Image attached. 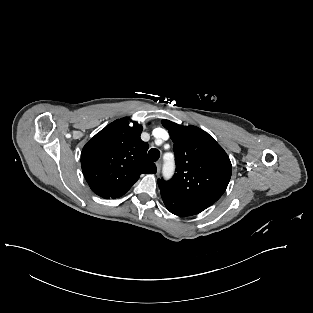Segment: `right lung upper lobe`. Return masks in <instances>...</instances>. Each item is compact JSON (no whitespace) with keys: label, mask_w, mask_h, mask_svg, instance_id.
I'll use <instances>...</instances> for the list:
<instances>
[{"label":"right lung upper lobe","mask_w":313,"mask_h":313,"mask_svg":"<svg viewBox=\"0 0 313 313\" xmlns=\"http://www.w3.org/2000/svg\"><path fill=\"white\" fill-rule=\"evenodd\" d=\"M142 126L118 119L97 133L83 147L81 167L92 191L103 198L125 194L142 173H156L146 158L148 143L140 138Z\"/></svg>","instance_id":"obj_1"}]
</instances>
